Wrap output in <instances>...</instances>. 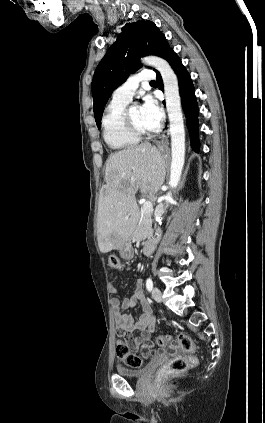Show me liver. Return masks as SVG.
<instances>
[{
    "label": "liver",
    "instance_id": "obj_1",
    "mask_svg": "<svg viewBox=\"0 0 265 423\" xmlns=\"http://www.w3.org/2000/svg\"><path fill=\"white\" fill-rule=\"evenodd\" d=\"M163 154L145 142L110 155L105 189L98 207V246L102 253L119 249L128 240L139 209L135 194H155L164 183Z\"/></svg>",
    "mask_w": 265,
    "mask_h": 423
}]
</instances>
